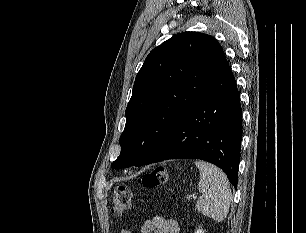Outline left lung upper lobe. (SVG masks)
I'll return each mask as SVG.
<instances>
[{
	"mask_svg": "<svg viewBox=\"0 0 306 233\" xmlns=\"http://www.w3.org/2000/svg\"><path fill=\"white\" fill-rule=\"evenodd\" d=\"M227 63L210 35L184 32L154 48L138 72L113 168L144 165Z\"/></svg>",
	"mask_w": 306,
	"mask_h": 233,
	"instance_id": "left-lung-upper-lobe-1",
	"label": "left lung upper lobe"
}]
</instances>
